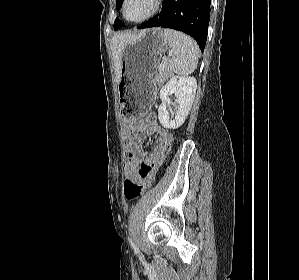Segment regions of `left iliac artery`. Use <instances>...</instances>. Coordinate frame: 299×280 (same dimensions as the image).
Listing matches in <instances>:
<instances>
[{
	"label": "left iliac artery",
	"instance_id": "1",
	"mask_svg": "<svg viewBox=\"0 0 299 280\" xmlns=\"http://www.w3.org/2000/svg\"><path fill=\"white\" fill-rule=\"evenodd\" d=\"M128 240H129V242H130V244L132 245V246H134V243L132 242V240L128 237Z\"/></svg>",
	"mask_w": 299,
	"mask_h": 280
}]
</instances>
